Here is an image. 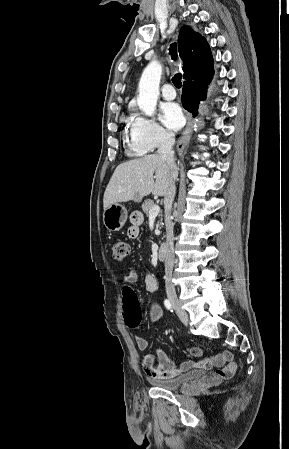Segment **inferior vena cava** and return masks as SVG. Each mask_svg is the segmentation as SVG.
Returning a JSON list of instances; mask_svg holds the SVG:
<instances>
[{"label":"inferior vena cava","mask_w":289,"mask_h":449,"mask_svg":"<svg viewBox=\"0 0 289 449\" xmlns=\"http://www.w3.org/2000/svg\"><path fill=\"white\" fill-rule=\"evenodd\" d=\"M175 143L174 134L166 133L160 143L158 153L162 155L171 170L170 186L164 197L166 208L165 226H166V258H165V287L167 292H175L172 283V272L174 266V234L173 222L171 220V208L176 194V164L174 160L173 145Z\"/></svg>","instance_id":"obj_1"}]
</instances>
